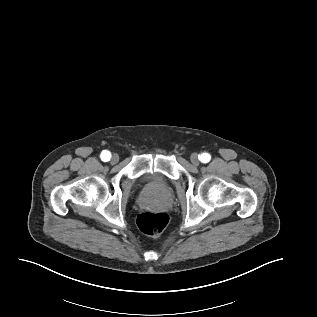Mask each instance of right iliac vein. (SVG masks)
<instances>
[{
    "instance_id": "right-iliac-vein-1",
    "label": "right iliac vein",
    "mask_w": 317,
    "mask_h": 317,
    "mask_svg": "<svg viewBox=\"0 0 317 317\" xmlns=\"http://www.w3.org/2000/svg\"><path fill=\"white\" fill-rule=\"evenodd\" d=\"M119 161V156L114 154L111 158V164H116Z\"/></svg>"
}]
</instances>
